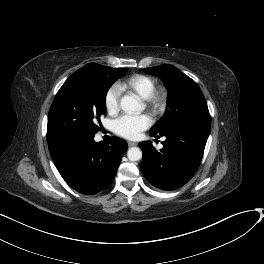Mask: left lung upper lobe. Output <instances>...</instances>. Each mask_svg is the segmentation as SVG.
Masks as SVG:
<instances>
[{"mask_svg":"<svg viewBox=\"0 0 264 264\" xmlns=\"http://www.w3.org/2000/svg\"><path fill=\"white\" fill-rule=\"evenodd\" d=\"M143 70L159 76L169 91L167 110L164 116L150 129V135L164 136L186 121L210 122L206 100L194 80L170 64Z\"/></svg>","mask_w":264,"mask_h":264,"instance_id":"obj_1","label":"left lung upper lobe"}]
</instances>
